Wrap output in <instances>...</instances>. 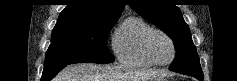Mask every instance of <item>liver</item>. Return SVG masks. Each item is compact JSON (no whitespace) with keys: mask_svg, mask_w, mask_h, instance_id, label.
<instances>
[{"mask_svg":"<svg viewBox=\"0 0 237 81\" xmlns=\"http://www.w3.org/2000/svg\"><path fill=\"white\" fill-rule=\"evenodd\" d=\"M164 76L158 70L123 71L115 66L78 63L63 69L55 81H152Z\"/></svg>","mask_w":237,"mask_h":81,"instance_id":"obj_1","label":"liver"}]
</instances>
